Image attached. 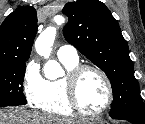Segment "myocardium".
I'll return each mask as SVG.
<instances>
[{
	"label": "myocardium",
	"mask_w": 145,
	"mask_h": 124,
	"mask_svg": "<svg viewBox=\"0 0 145 124\" xmlns=\"http://www.w3.org/2000/svg\"><path fill=\"white\" fill-rule=\"evenodd\" d=\"M86 71H94L97 74H99V76L104 81V84L107 89L106 103L100 110L93 113L87 112L84 110L78 96V84L82 75ZM66 89H67V97H68L70 106L73 108L75 113L86 118H97V117L102 116L111 107L114 100L113 86H112V82L109 76L106 74V72L102 68L96 65L80 64L74 67L73 69H71L66 75Z\"/></svg>",
	"instance_id": "1"
}]
</instances>
